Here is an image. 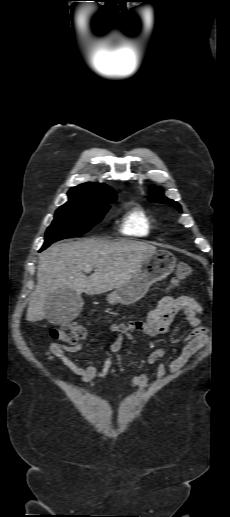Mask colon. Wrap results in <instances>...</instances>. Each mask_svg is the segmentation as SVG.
<instances>
[{
  "label": "colon",
  "instance_id": "1",
  "mask_svg": "<svg viewBox=\"0 0 230 517\" xmlns=\"http://www.w3.org/2000/svg\"><path fill=\"white\" fill-rule=\"evenodd\" d=\"M193 274L194 271L190 265L181 263L177 267L173 283L177 284L182 280L190 279ZM86 333V327L77 323H65L50 331L52 338L64 344H74L83 339Z\"/></svg>",
  "mask_w": 230,
  "mask_h": 517
}]
</instances>
